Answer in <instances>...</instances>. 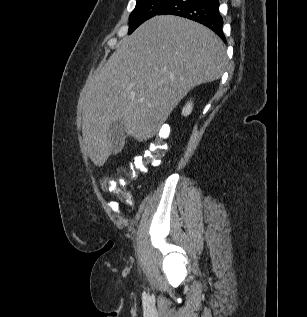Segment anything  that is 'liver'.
Masks as SVG:
<instances>
[{
	"label": "liver",
	"instance_id": "1",
	"mask_svg": "<svg viewBox=\"0 0 307 317\" xmlns=\"http://www.w3.org/2000/svg\"><path fill=\"white\" fill-rule=\"evenodd\" d=\"M226 66V48L207 27L172 15L143 23L80 94L82 135L93 163L108 159L115 121L122 119L129 136L146 141L192 88L218 80Z\"/></svg>",
	"mask_w": 307,
	"mask_h": 317
}]
</instances>
